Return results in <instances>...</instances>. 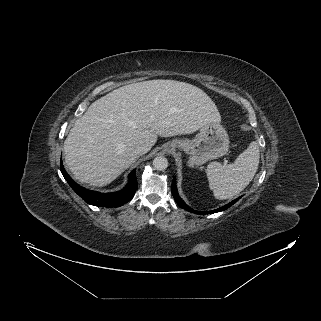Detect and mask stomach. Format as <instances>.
I'll return each mask as SVG.
<instances>
[{
	"mask_svg": "<svg viewBox=\"0 0 321 321\" xmlns=\"http://www.w3.org/2000/svg\"><path fill=\"white\" fill-rule=\"evenodd\" d=\"M229 142L228 134L219 122L204 125L192 140H173L170 147L183 149L190 155L189 164L199 166L225 155L229 149Z\"/></svg>",
	"mask_w": 321,
	"mask_h": 321,
	"instance_id": "obj_1",
	"label": "stomach"
}]
</instances>
